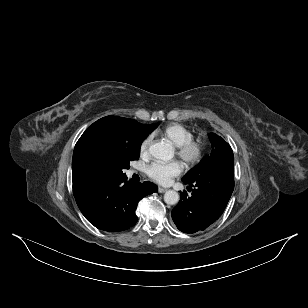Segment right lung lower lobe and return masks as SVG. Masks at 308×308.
<instances>
[{
	"label": "right lung lower lobe",
	"mask_w": 308,
	"mask_h": 308,
	"mask_svg": "<svg viewBox=\"0 0 308 308\" xmlns=\"http://www.w3.org/2000/svg\"><path fill=\"white\" fill-rule=\"evenodd\" d=\"M126 179L107 178L74 195L82 214L96 228L118 232L134 226L138 202L158 190L151 182L129 185Z\"/></svg>",
	"instance_id": "98d812e1"
}]
</instances>
